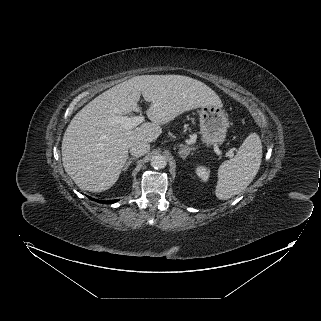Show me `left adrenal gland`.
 Returning a JSON list of instances; mask_svg holds the SVG:
<instances>
[{
  "instance_id": "left-adrenal-gland-1",
  "label": "left adrenal gland",
  "mask_w": 321,
  "mask_h": 321,
  "mask_svg": "<svg viewBox=\"0 0 321 321\" xmlns=\"http://www.w3.org/2000/svg\"><path fill=\"white\" fill-rule=\"evenodd\" d=\"M179 155L181 158L185 159L188 154L190 153V151L194 150L193 148L187 146V145H183V144H180L179 145Z\"/></svg>"
}]
</instances>
